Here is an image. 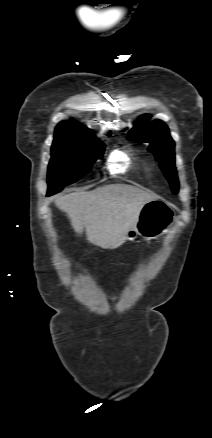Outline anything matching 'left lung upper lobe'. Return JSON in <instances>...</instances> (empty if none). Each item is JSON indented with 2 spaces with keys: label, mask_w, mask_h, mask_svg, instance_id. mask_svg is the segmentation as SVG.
Listing matches in <instances>:
<instances>
[{
  "label": "left lung upper lobe",
  "mask_w": 212,
  "mask_h": 438,
  "mask_svg": "<svg viewBox=\"0 0 212 438\" xmlns=\"http://www.w3.org/2000/svg\"><path fill=\"white\" fill-rule=\"evenodd\" d=\"M149 116L140 117L141 122L130 130L128 139L138 143H149L148 150L160 162V166L169 180L173 193L178 192L179 182L175 170L174 141L164 122H148Z\"/></svg>",
  "instance_id": "left-lung-upper-lobe-1"
}]
</instances>
